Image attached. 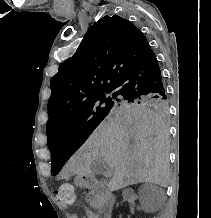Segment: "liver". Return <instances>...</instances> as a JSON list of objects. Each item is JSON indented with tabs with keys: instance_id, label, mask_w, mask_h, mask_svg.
I'll return each instance as SVG.
<instances>
[{
	"instance_id": "obj_1",
	"label": "liver",
	"mask_w": 211,
	"mask_h": 218,
	"mask_svg": "<svg viewBox=\"0 0 211 218\" xmlns=\"http://www.w3.org/2000/svg\"><path fill=\"white\" fill-rule=\"evenodd\" d=\"M133 140V142H131ZM169 134L153 110L113 108L65 166L66 174L87 176L93 160L103 158L114 168L113 186L152 182L168 186Z\"/></svg>"
}]
</instances>
